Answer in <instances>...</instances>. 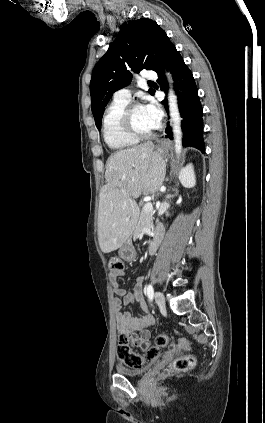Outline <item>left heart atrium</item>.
<instances>
[{
	"instance_id": "left-heart-atrium-1",
	"label": "left heart atrium",
	"mask_w": 265,
	"mask_h": 423,
	"mask_svg": "<svg viewBox=\"0 0 265 423\" xmlns=\"http://www.w3.org/2000/svg\"><path fill=\"white\" fill-rule=\"evenodd\" d=\"M142 107L151 122L157 127L162 117V112L159 106L154 101H149Z\"/></svg>"
}]
</instances>
